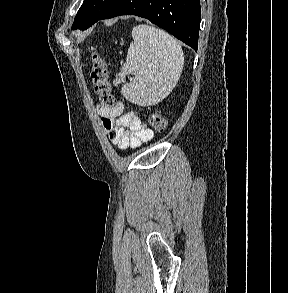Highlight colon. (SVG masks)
<instances>
[{
    "label": "colon",
    "mask_w": 288,
    "mask_h": 293,
    "mask_svg": "<svg viewBox=\"0 0 288 293\" xmlns=\"http://www.w3.org/2000/svg\"><path fill=\"white\" fill-rule=\"evenodd\" d=\"M90 56L92 61L91 78L95 92L103 106L111 107L116 101L109 89L107 64L93 48H90ZM149 124L155 131L163 132L167 128L168 121L162 114L153 113L149 118Z\"/></svg>",
    "instance_id": "obj_1"
}]
</instances>
